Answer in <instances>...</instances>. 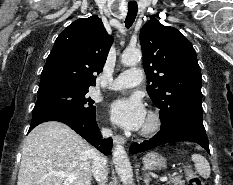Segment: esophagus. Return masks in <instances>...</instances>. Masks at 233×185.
<instances>
[{
  "mask_svg": "<svg viewBox=\"0 0 233 185\" xmlns=\"http://www.w3.org/2000/svg\"><path fill=\"white\" fill-rule=\"evenodd\" d=\"M113 142L114 144H124L125 143V138L121 135H115L113 137Z\"/></svg>",
  "mask_w": 233,
  "mask_h": 185,
  "instance_id": "34e87169",
  "label": "esophagus"
}]
</instances>
